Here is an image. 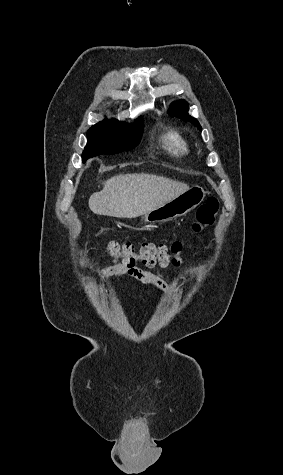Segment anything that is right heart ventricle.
<instances>
[{
	"label": "right heart ventricle",
	"mask_w": 283,
	"mask_h": 475,
	"mask_svg": "<svg viewBox=\"0 0 283 475\" xmlns=\"http://www.w3.org/2000/svg\"><path fill=\"white\" fill-rule=\"evenodd\" d=\"M161 141L176 156H186L191 152L189 139L177 128H166L162 133Z\"/></svg>",
	"instance_id": "e07e8e85"
}]
</instances>
